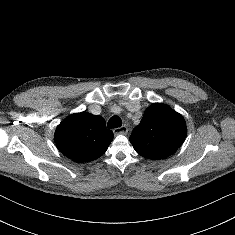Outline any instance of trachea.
I'll return each mask as SVG.
<instances>
[{
    "instance_id": "1",
    "label": "trachea",
    "mask_w": 235,
    "mask_h": 235,
    "mask_svg": "<svg viewBox=\"0 0 235 235\" xmlns=\"http://www.w3.org/2000/svg\"><path fill=\"white\" fill-rule=\"evenodd\" d=\"M108 128H118L122 126V121L118 116H112L108 121Z\"/></svg>"
}]
</instances>
